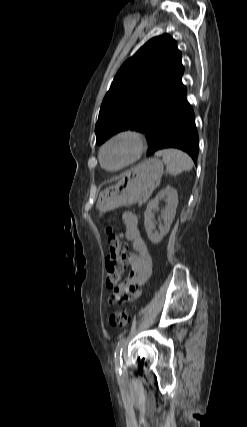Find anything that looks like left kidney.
Listing matches in <instances>:
<instances>
[{
  "label": "left kidney",
  "instance_id": "5707ae66",
  "mask_svg": "<svg viewBox=\"0 0 247 427\" xmlns=\"http://www.w3.org/2000/svg\"><path fill=\"white\" fill-rule=\"evenodd\" d=\"M161 200H165L166 202V207L161 211V219L164 223H159V231H157L154 220V212L158 210V205ZM177 205V190L170 186H167L166 188L161 190L154 199L148 202L147 208L144 213V226L147 236L153 244L160 243L163 237L166 236L169 232L170 226L175 218Z\"/></svg>",
  "mask_w": 247,
  "mask_h": 427
}]
</instances>
